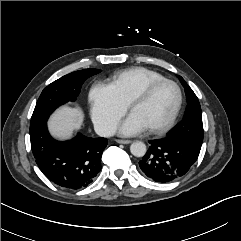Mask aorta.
Masks as SVG:
<instances>
[{"mask_svg":"<svg viewBox=\"0 0 241 241\" xmlns=\"http://www.w3.org/2000/svg\"><path fill=\"white\" fill-rule=\"evenodd\" d=\"M146 145L141 141L133 142L130 146V152L136 157H143L146 154Z\"/></svg>","mask_w":241,"mask_h":241,"instance_id":"obj_1","label":"aorta"}]
</instances>
